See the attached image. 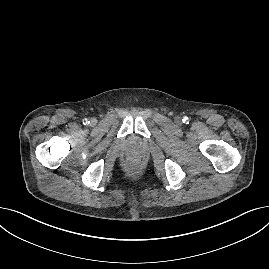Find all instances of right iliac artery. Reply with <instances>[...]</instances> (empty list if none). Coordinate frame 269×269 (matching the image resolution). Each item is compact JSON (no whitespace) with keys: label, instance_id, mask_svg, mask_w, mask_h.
Instances as JSON below:
<instances>
[{"label":"right iliac artery","instance_id":"82829eb1","mask_svg":"<svg viewBox=\"0 0 269 269\" xmlns=\"http://www.w3.org/2000/svg\"><path fill=\"white\" fill-rule=\"evenodd\" d=\"M89 122H90V121H89L88 119H84V120H83V124H85V125H86V124H89Z\"/></svg>","mask_w":269,"mask_h":269}]
</instances>
